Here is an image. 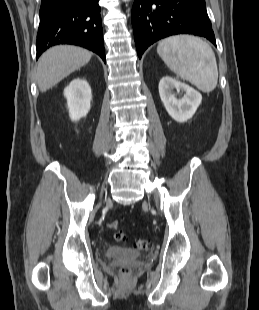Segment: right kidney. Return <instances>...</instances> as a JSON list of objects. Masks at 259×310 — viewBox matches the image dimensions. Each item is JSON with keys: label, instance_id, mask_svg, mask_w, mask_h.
<instances>
[{"label": "right kidney", "instance_id": "ca27d5eb", "mask_svg": "<svg viewBox=\"0 0 259 310\" xmlns=\"http://www.w3.org/2000/svg\"><path fill=\"white\" fill-rule=\"evenodd\" d=\"M67 99L69 116L72 121L85 117L91 108L92 92L88 82L84 79H74L64 89Z\"/></svg>", "mask_w": 259, "mask_h": 310}]
</instances>
